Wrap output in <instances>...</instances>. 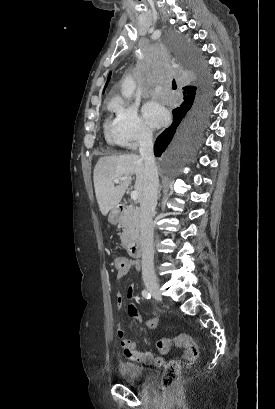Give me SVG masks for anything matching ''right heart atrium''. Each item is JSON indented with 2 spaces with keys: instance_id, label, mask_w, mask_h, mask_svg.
<instances>
[{
  "instance_id": "obj_1",
  "label": "right heart atrium",
  "mask_w": 275,
  "mask_h": 409,
  "mask_svg": "<svg viewBox=\"0 0 275 409\" xmlns=\"http://www.w3.org/2000/svg\"><path fill=\"white\" fill-rule=\"evenodd\" d=\"M114 109L115 124L126 152H135L152 139V126L134 107L118 102Z\"/></svg>"
}]
</instances>
